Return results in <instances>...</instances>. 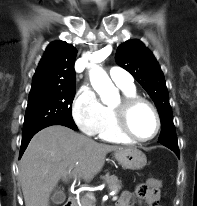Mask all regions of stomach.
<instances>
[{"mask_svg":"<svg viewBox=\"0 0 197 206\" xmlns=\"http://www.w3.org/2000/svg\"><path fill=\"white\" fill-rule=\"evenodd\" d=\"M114 157L123 168L131 170L142 169L147 163L145 154L135 148L117 150Z\"/></svg>","mask_w":197,"mask_h":206,"instance_id":"1","label":"stomach"}]
</instances>
